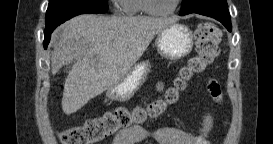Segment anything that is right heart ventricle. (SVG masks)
Returning <instances> with one entry per match:
<instances>
[{"mask_svg": "<svg viewBox=\"0 0 273 144\" xmlns=\"http://www.w3.org/2000/svg\"><path fill=\"white\" fill-rule=\"evenodd\" d=\"M142 0H123L122 11L124 14L132 16L141 12Z\"/></svg>", "mask_w": 273, "mask_h": 144, "instance_id": "1", "label": "right heart ventricle"}]
</instances>
